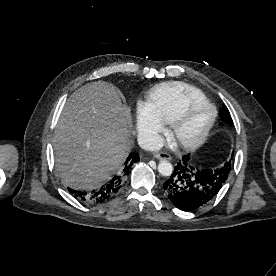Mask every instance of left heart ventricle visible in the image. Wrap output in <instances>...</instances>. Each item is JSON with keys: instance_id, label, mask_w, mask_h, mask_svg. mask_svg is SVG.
<instances>
[{"instance_id": "1", "label": "left heart ventricle", "mask_w": 276, "mask_h": 276, "mask_svg": "<svg viewBox=\"0 0 276 276\" xmlns=\"http://www.w3.org/2000/svg\"><path fill=\"white\" fill-rule=\"evenodd\" d=\"M211 117L212 109L209 106L199 104L193 107L180 126L178 137L180 139H190L198 136L207 126Z\"/></svg>"}]
</instances>
